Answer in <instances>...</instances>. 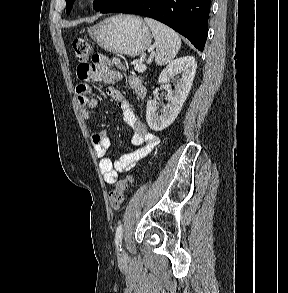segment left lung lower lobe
Returning <instances> with one entry per match:
<instances>
[{"instance_id":"left-lung-lower-lobe-1","label":"left lung lower lobe","mask_w":288,"mask_h":293,"mask_svg":"<svg viewBox=\"0 0 288 293\" xmlns=\"http://www.w3.org/2000/svg\"><path fill=\"white\" fill-rule=\"evenodd\" d=\"M210 2L211 0H116L100 12L153 18L185 36L202 51L208 34Z\"/></svg>"}]
</instances>
